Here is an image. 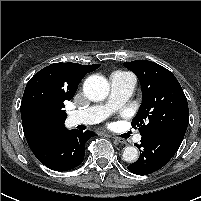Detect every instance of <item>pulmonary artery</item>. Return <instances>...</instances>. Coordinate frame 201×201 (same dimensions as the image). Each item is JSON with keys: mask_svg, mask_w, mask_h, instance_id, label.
<instances>
[{"mask_svg": "<svg viewBox=\"0 0 201 201\" xmlns=\"http://www.w3.org/2000/svg\"><path fill=\"white\" fill-rule=\"evenodd\" d=\"M111 92L104 104L94 105L83 110L72 111L67 116L70 126L96 124L112 112L120 109L133 95L136 78L131 73L115 72L110 77ZM140 140V136L137 137Z\"/></svg>", "mask_w": 201, "mask_h": 201, "instance_id": "e3ab8cb5", "label": "pulmonary artery"}]
</instances>
